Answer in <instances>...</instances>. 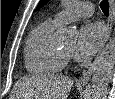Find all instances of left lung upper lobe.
Here are the masks:
<instances>
[{
  "mask_svg": "<svg viewBox=\"0 0 115 99\" xmlns=\"http://www.w3.org/2000/svg\"><path fill=\"white\" fill-rule=\"evenodd\" d=\"M47 1H48V0H40L38 6H37V8H36V10L39 9L42 5H44Z\"/></svg>",
  "mask_w": 115,
  "mask_h": 99,
  "instance_id": "obj_1",
  "label": "left lung upper lobe"
}]
</instances>
